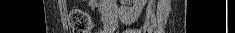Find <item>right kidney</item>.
<instances>
[{
  "label": "right kidney",
  "mask_w": 235,
  "mask_h": 33,
  "mask_svg": "<svg viewBox=\"0 0 235 33\" xmlns=\"http://www.w3.org/2000/svg\"><path fill=\"white\" fill-rule=\"evenodd\" d=\"M147 0H133V7L125 10L120 9L119 15L122 22H128L130 20L137 19Z\"/></svg>",
  "instance_id": "ca27d5eb"
}]
</instances>
